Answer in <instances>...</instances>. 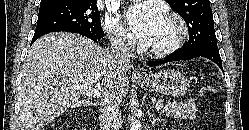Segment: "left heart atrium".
Listing matches in <instances>:
<instances>
[{
  "mask_svg": "<svg viewBox=\"0 0 249 130\" xmlns=\"http://www.w3.org/2000/svg\"><path fill=\"white\" fill-rule=\"evenodd\" d=\"M161 8L154 2H142L131 6L125 18L137 38L149 45L163 19Z\"/></svg>",
  "mask_w": 249,
  "mask_h": 130,
  "instance_id": "left-heart-atrium-1",
  "label": "left heart atrium"
}]
</instances>
